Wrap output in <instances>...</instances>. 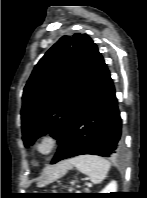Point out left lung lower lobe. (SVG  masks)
I'll return each mask as SVG.
<instances>
[{"label": "left lung lower lobe", "instance_id": "0a47b994", "mask_svg": "<svg viewBox=\"0 0 147 198\" xmlns=\"http://www.w3.org/2000/svg\"><path fill=\"white\" fill-rule=\"evenodd\" d=\"M122 149V121L115 88L104 59L98 53L90 85L51 164L83 154L114 157Z\"/></svg>", "mask_w": 147, "mask_h": 198}]
</instances>
